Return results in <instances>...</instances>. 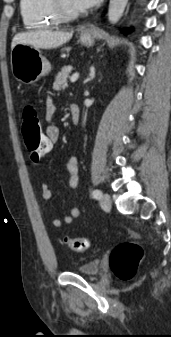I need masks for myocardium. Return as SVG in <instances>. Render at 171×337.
Returning <instances> with one entry per match:
<instances>
[{"label": "myocardium", "mask_w": 171, "mask_h": 337, "mask_svg": "<svg viewBox=\"0 0 171 337\" xmlns=\"http://www.w3.org/2000/svg\"><path fill=\"white\" fill-rule=\"evenodd\" d=\"M56 15L61 22L73 21L81 16L80 10H72L67 7L63 0H52Z\"/></svg>", "instance_id": "1"}]
</instances>
